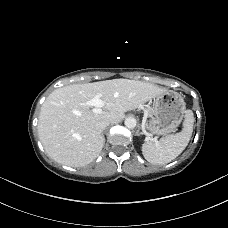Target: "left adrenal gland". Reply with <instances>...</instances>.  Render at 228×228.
Instances as JSON below:
<instances>
[{
    "instance_id": "obj_1",
    "label": "left adrenal gland",
    "mask_w": 228,
    "mask_h": 228,
    "mask_svg": "<svg viewBox=\"0 0 228 228\" xmlns=\"http://www.w3.org/2000/svg\"><path fill=\"white\" fill-rule=\"evenodd\" d=\"M142 133L140 132V130H137V132H136V135L137 136H140Z\"/></svg>"
}]
</instances>
